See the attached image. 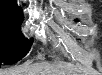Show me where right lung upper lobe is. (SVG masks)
<instances>
[{
  "label": "right lung upper lobe",
  "instance_id": "obj_1",
  "mask_svg": "<svg viewBox=\"0 0 102 75\" xmlns=\"http://www.w3.org/2000/svg\"><path fill=\"white\" fill-rule=\"evenodd\" d=\"M0 13L23 16L22 9L13 0H1Z\"/></svg>",
  "mask_w": 102,
  "mask_h": 75
}]
</instances>
